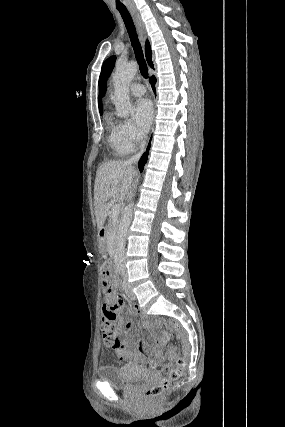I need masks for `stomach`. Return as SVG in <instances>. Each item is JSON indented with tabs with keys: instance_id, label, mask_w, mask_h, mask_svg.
I'll return each mask as SVG.
<instances>
[{
	"instance_id": "0dacf381",
	"label": "stomach",
	"mask_w": 285,
	"mask_h": 427,
	"mask_svg": "<svg viewBox=\"0 0 285 427\" xmlns=\"http://www.w3.org/2000/svg\"><path fill=\"white\" fill-rule=\"evenodd\" d=\"M99 249L102 252L105 251V249H106V242L104 240H100L99 241Z\"/></svg>"
}]
</instances>
